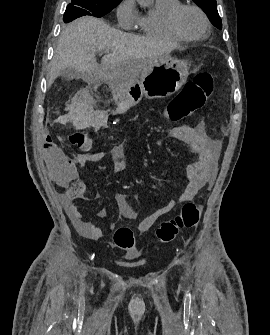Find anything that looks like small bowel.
<instances>
[{"mask_svg": "<svg viewBox=\"0 0 270 335\" xmlns=\"http://www.w3.org/2000/svg\"><path fill=\"white\" fill-rule=\"evenodd\" d=\"M183 133H186V136L189 137L191 146L198 153L199 159L186 167L187 187L179 198V202L182 203L192 200L204 186L213 182L217 173L216 159L221 149V142L206 134L204 123L189 129L176 128L172 132L177 138H181ZM66 153V149H57V144H46L45 154L48 158H44L43 163L44 165H51L47 176L48 178H70L65 184L67 190L63 195L66 212L76 229L84 237L92 240L99 239L103 236L102 231L91 222L86 221L78 208L77 202L86 200L87 197L85 185L76 179L79 176L76 167L81 168L90 163L100 162L104 159L105 153L95 151L79 154L75 158H63ZM111 160L114 173L119 174L126 170L127 164L120 146L112 148ZM114 200L124 218L129 220L136 218V212L125 194L116 193ZM175 205V200L168 201L162 208L144 218L138 225V231L141 233L148 232L157 220L172 211ZM96 215L98 218H104L107 212L105 209H101ZM114 228L113 225L110 226L111 230Z\"/></svg>", "mask_w": 270, "mask_h": 335, "instance_id": "obj_1", "label": "small bowel"}]
</instances>
